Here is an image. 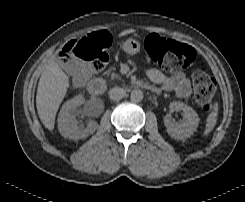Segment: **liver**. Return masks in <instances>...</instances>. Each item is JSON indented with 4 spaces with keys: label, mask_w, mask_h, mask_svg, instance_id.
<instances>
[{
    "label": "liver",
    "mask_w": 245,
    "mask_h": 202,
    "mask_svg": "<svg viewBox=\"0 0 245 202\" xmlns=\"http://www.w3.org/2000/svg\"><path fill=\"white\" fill-rule=\"evenodd\" d=\"M132 32H134V29L124 30L119 36ZM69 86V77L55 61H49L41 74L36 95L39 118L49 131L54 129L57 111L66 96Z\"/></svg>",
    "instance_id": "obj_1"
}]
</instances>
